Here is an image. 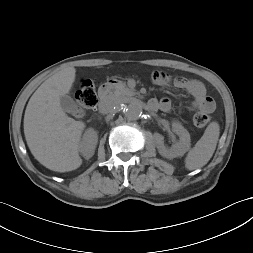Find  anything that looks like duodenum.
Segmentation results:
<instances>
[{
	"mask_svg": "<svg viewBox=\"0 0 253 253\" xmlns=\"http://www.w3.org/2000/svg\"><path fill=\"white\" fill-rule=\"evenodd\" d=\"M117 83V80L111 79L107 83H105L103 86L100 87L99 89V97L101 100H105L108 96V93L113 85ZM149 108L152 109L153 104L151 102L148 103Z\"/></svg>",
	"mask_w": 253,
	"mask_h": 253,
	"instance_id": "obj_1",
	"label": "duodenum"
}]
</instances>
